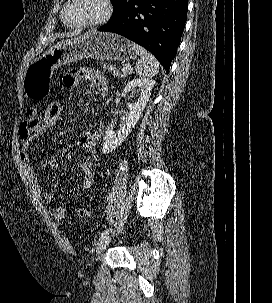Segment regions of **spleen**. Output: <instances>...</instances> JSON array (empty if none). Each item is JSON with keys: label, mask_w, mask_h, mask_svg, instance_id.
<instances>
[{"label": "spleen", "mask_w": 272, "mask_h": 303, "mask_svg": "<svg viewBox=\"0 0 272 303\" xmlns=\"http://www.w3.org/2000/svg\"><path fill=\"white\" fill-rule=\"evenodd\" d=\"M133 50L140 56L136 62V74L141 77H153L158 73L159 63L156 58L143 47L132 43Z\"/></svg>", "instance_id": "1"}]
</instances>
